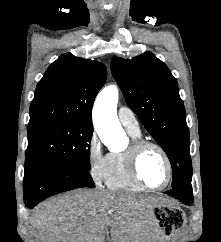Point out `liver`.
<instances>
[{
	"label": "liver",
	"instance_id": "6515ba94",
	"mask_svg": "<svg viewBox=\"0 0 221 242\" xmlns=\"http://www.w3.org/2000/svg\"><path fill=\"white\" fill-rule=\"evenodd\" d=\"M160 197L104 190H74L39 204L30 217L37 242H156L153 208Z\"/></svg>",
	"mask_w": 221,
	"mask_h": 242
}]
</instances>
